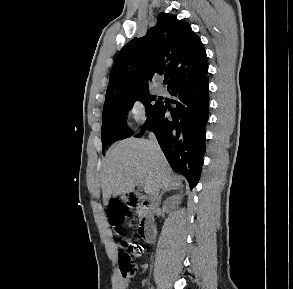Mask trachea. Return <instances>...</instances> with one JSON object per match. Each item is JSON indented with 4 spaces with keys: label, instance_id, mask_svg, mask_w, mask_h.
<instances>
[{
    "label": "trachea",
    "instance_id": "trachea-1",
    "mask_svg": "<svg viewBox=\"0 0 293 289\" xmlns=\"http://www.w3.org/2000/svg\"><path fill=\"white\" fill-rule=\"evenodd\" d=\"M168 83V80L167 79H164V84L166 85Z\"/></svg>",
    "mask_w": 293,
    "mask_h": 289
}]
</instances>
